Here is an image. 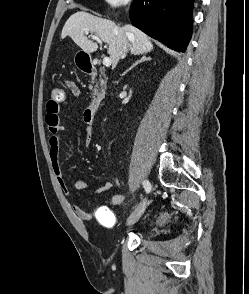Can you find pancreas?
Here are the masks:
<instances>
[{
	"label": "pancreas",
	"instance_id": "cf45deb5",
	"mask_svg": "<svg viewBox=\"0 0 249 294\" xmlns=\"http://www.w3.org/2000/svg\"><path fill=\"white\" fill-rule=\"evenodd\" d=\"M101 82V89H102V93H105V89H106V80L105 79H100Z\"/></svg>",
	"mask_w": 249,
	"mask_h": 294
}]
</instances>
